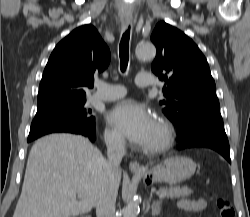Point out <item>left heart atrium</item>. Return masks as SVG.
Here are the masks:
<instances>
[{
    "instance_id": "1",
    "label": "left heart atrium",
    "mask_w": 250,
    "mask_h": 217,
    "mask_svg": "<svg viewBox=\"0 0 250 217\" xmlns=\"http://www.w3.org/2000/svg\"><path fill=\"white\" fill-rule=\"evenodd\" d=\"M107 119L131 142L145 145L155 125L150 112L134 100L116 104L107 114Z\"/></svg>"
}]
</instances>
